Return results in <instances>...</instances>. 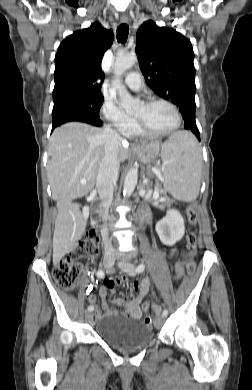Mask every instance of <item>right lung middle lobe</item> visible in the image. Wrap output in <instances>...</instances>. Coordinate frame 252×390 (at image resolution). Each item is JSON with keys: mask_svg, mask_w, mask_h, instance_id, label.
I'll return each instance as SVG.
<instances>
[{"mask_svg": "<svg viewBox=\"0 0 252 390\" xmlns=\"http://www.w3.org/2000/svg\"><path fill=\"white\" fill-rule=\"evenodd\" d=\"M103 96H72L54 101L52 120L73 116L101 123L99 111Z\"/></svg>", "mask_w": 252, "mask_h": 390, "instance_id": "right-lung-middle-lobe-1", "label": "right lung middle lobe"}]
</instances>
